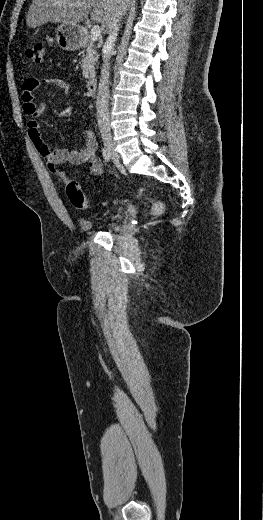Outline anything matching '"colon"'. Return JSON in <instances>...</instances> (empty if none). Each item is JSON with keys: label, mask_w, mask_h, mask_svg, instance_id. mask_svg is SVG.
I'll return each mask as SVG.
<instances>
[{"label": "colon", "mask_w": 263, "mask_h": 520, "mask_svg": "<svg viewBox=\"0 0 263 520\" xmlns=\"http://www.w3.org/2000/svg\"><path fill=\"white\" fill-rule=\"evenodd\" d=\"M44 53L45 46L42 42L34 43L25 51L26 56L37 64L43 62ZM64 182L66 195L71 204L77 209H85L88 206L89 201L84 195L79 183L76 180L69 177H67ZM151 210L154 215H160L163 213L164 206L160 201H154L152 203Z\"/></svg>", "instance_id": "5ec220e1"}]
</instances>
